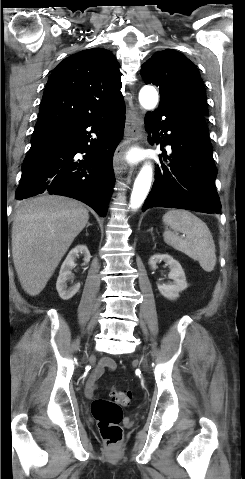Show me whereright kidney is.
Returning <instances> with one entry per match:
<instances>
[{
  "label": "right kidney",
  "instance_id": "ca27d5eb",
  "mask_svg": "<svg viewBox=\"0 0 245 479\" xmlns=\"http://www.w3.org/2000/svg\"><path fill=\"white\" fill-rule=\"evenodd\" d=\"M79 254L84 256V265L90 262L91 255L87 246L78 245L68 253L66 259L61 266L59 276L56 282V289L59 296L63 300H69L80 289V283L74 284L72 287L67 288V281L73 279V274L71 270L75 267V259L79 257Z\"/></svg>",
  "mask_w": 245,
  "mask_h": 479
}]
</instances>
